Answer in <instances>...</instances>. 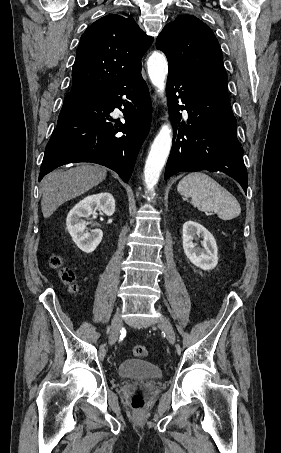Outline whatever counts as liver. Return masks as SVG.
I'll use <instances>...</instances> for the list:
<instances>
[{
  "label": "liver",
  "mask_w": 281,
  "mask_h": 453,
  "mask_svg": "<svg viewBox=\"0 0 281 453\" xmlns=\"http://www.w3.org/2000/svg\"><path fill=\"white\" fill-rule=\"evenodd\" d=\"M106 166L99 164H79L69 170H53L42 180L41 210L44 218L51 216L56 208L84 194L93 186L100 184L107 176Z\"/></svg>",
  "instance_id": "obj_1"
}]
</instances>
